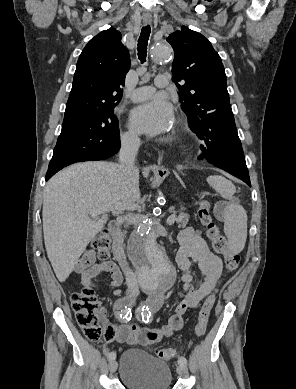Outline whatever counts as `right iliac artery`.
I'll return each mask as SVG.
<instances>
[{
    "instance_id": "1",
    "label": "right iliac artery",
    "mask_w": 296,
    "mask_h": 389,
    "mask_svg": "<svg viewBox=\"0 0 296 389\" xmlns=\"http://www.w3.org/2000/svg\"><path fill=\"white\" fill-rule=\"evenodd\" d=\"M131 308V304H128V299L127 298H122L118 301L116 305V316L119 320L125 321V314H126V309ZM105 354L108 356L109 360L115 359L116 354L114 352H108L105 351Z\"/></svg>"
}]
</instances>
